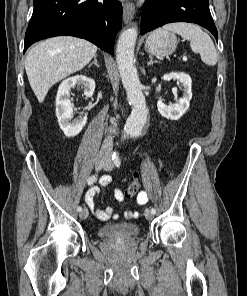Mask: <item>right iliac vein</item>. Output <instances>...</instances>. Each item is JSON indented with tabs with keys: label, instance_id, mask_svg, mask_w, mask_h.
<instances>
[{
	"label": "right iliac vein",
	"instance_id": "1",
	"mask_svg": "<svg viewBox=\"0 0 247 296\" xmlns=\"http://www.w3.org/2000/svg\"><path fill=\"white\" fill-rule=\"evenodd\" d=\"M106 162V158L102 155L98 156L96 158L95 161V169L96 171L100 170L101 167L105 164ZM88 217V210L87 208H84L81 212H80V218L81 219H86Z\"/></svg>",
	"mask_w": 247,
	"mask_h": 296
}]
</instances>
